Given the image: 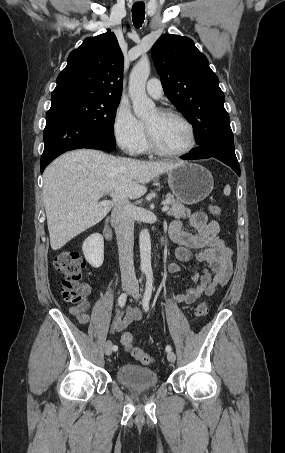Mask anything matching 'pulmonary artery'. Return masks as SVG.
Segmentation results:
<instances>
[{"label":"pulmonary artery","instance_id":"e3ab8cb5","mask_svg":"<svg viewBox=\"0 0 285 453\" xmlns=\"http://www.w3.org/2000/svg\"><path fill=\"white\" fill-rule=\"evenodd\" d=\"M147 94L156 100H159L163 95V88L160 80L152 78L147 82L146 85Z\"/></svg>","mask_w":285,"mask_h":453}]
</instances>
